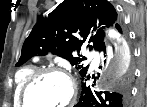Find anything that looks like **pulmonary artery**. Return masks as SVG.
Here are the masks:
<instances>
[{"label": "pulmonary artery", "mask_w": 147, "mask_h": 107, "mask_svg": "<svg viewBox=\"0 0 147 107\" xmlns=\"http://www.w3.org/2000/svg\"><path fill=\"white\" fill-rule=\"evenodd\" d=\"M98 63H99L98 57H95V58L93 59V61H92V67H93V68H96V67L98 66Z\"/></svg>", "instance_id": "1"}]
</instances>
